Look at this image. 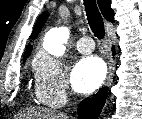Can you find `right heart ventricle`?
<instances>
[{
    "label": "right heart ventricle",
    "mask_w": 142,
    "mask_h": 119,
    "mask_svg": "<svg viewBox=\"0 0 142 119\" xmlns=\"http://www.w3.org/2000/svg\"><path fill=\"white\" fill-rule=\"evenodd\" d=\"M36 97L39 99V97H38V93H37V90H36ZM40 100V99H39Z\"/></svg>",
    "instance_id": "obj_1"
}]
</instances>
